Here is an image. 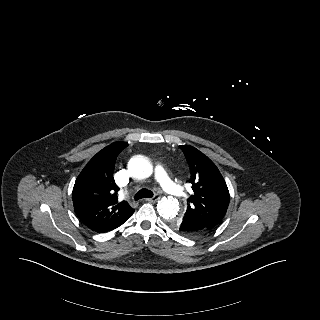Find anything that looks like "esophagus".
Here are the masks:
<instances>
[{"label": "esophagus", "instance_id": "34e87169", "mask_svg": "<svg viewBox=\"0 0 320 320\" xmlns=\"http://www.w3.org/2000/svg\"><path fill=\"white\" fill-rule=\"evenodd\" d=\"M159 200V197L158 196H154L152 198H147L146 201L147 202H156Z\"/></svg>", "mask_w": 320, "mask_h": 320}]
</instances>
